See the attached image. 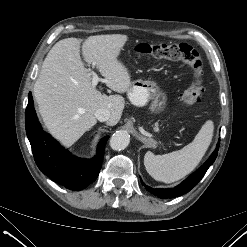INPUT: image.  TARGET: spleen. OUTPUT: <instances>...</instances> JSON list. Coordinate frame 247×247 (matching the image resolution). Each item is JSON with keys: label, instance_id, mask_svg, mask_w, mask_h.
<instances>
[{"label": "spleen", "instance_id": "spleen-1", "mask_svg": "<svg viewBox=\"0 0 247 247\" xmlns=\"http://www.w3.org/2000/svg\"><path fill=\"white\" fill-rule=\"evenodd\" d=\"M214 124L208 120L194 140L181 150L164 155H154L148 151L144 156V165L155 180L172 183L192 172L205 155L213 137Z\"/></svg>", "mask_w": 247, "mask_h": 247}]
</instances>
